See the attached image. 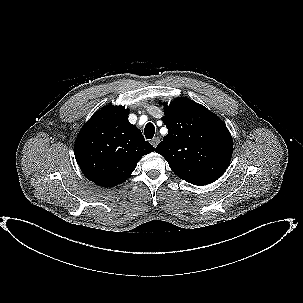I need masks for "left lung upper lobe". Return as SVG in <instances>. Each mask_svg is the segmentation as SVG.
<instances>
[{
  "label": "left lung upper lobe",
  "mask_w": 303,
  "mask_h": 303,
  "mask_svg": "<svg viewBox=\"0 0 303 303\" xmlns=\"http://www.w3.org/2000/svg\"><path fill=\"white\" fill-rule=\"evenodd\" d=\"M168 134L155 151L181 179L194 185L214 182L227 169L233 141L223 121L206 107L178 98L165 107Z\"/></svg>",
  "instance_id": "obj_1"
}]
</instances>
